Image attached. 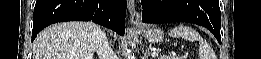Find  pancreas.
Instances as JSON below:
<instances>
[{"instance_id": "1", "label": "pancreas", "mask_w": 261, "mask_h": 59, "mask_svg": "<svg viewBox=\"0 0 261 59\" xmlns=\"http://www.w3.org/2000/svg\"><path fill=\"white\" fill-rule=\"evenodd\" d=\"M157 58L158 59H176V57H171L168 55H159Z\"/></svg>"}]
</instances>
